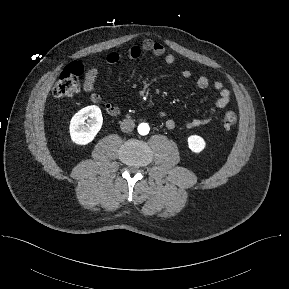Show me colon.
I'll return each instance as SVG.
<instances>
[{
    "label": "colon",
    "instance_id": "5ec220e1",
    "mask_svg": "<svg viewBox=\"0 0 289 289\" xmlns=\"http://www.w3.org/2000/svg\"><path fill=\"white\" fill-rule=\"evenodd\" d=\"M84 71L81 63H73L67 66L60 74L54 88L53 94L57 97H72L80 91V77ZM237 122L234 111H227L223 116V125L226 129L231 128Z\"/></svg>",
    "mask_w": 289,
    "mask_h": 289
}]
</instances>
